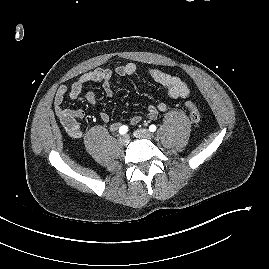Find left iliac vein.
Segmentation results:
<instances>
[{
    "label": "left iliac vein",
    "instance_id": "obj_1",
    "mask_svg": "<svg viewBox=\"0 0 269 269\" xmlns=\"http://www.w3.org/2000/svg\"><path fill=\"white\" fill-rule=\"evenodd\" d=\"M134 136L136 138H146V139H152L153 133L150 132L148 129H138L134 132Z\"/></svg>",
    "mask_w": 269,
    "mask_h": 269
}]
</instances>
